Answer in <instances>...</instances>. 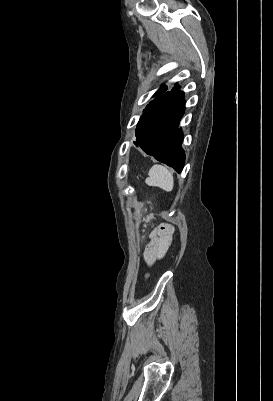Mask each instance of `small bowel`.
Segmentation results:
<instances>
[{
    "label": "small bowel",
    "instance_id": "small-bowel-1",
    "mask_svg": "<svg viewBox=\"0 0 273 401\" xmlns=\"http://www.w3.org/2000/svg\"><path fill=\"white\" fill-rule=\"evenodd\" d=\"M145 221H150V218H145ZM158 229L155 232H157ZM169 242L170 241H154V232H153L150 236V242L145 249L144 253L145 260L147 262H152L155 259L161 257L166 252Z\"/></svg>",
    "mask_w": 273,
    "mask_h": 401
}]
</instances>
